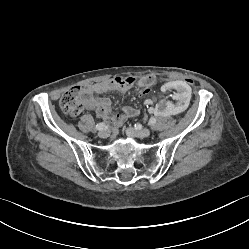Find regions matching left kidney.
<instances>
[{
	"label": "left kidney",
	"mask_w": 249,
	"mask_h": 249,
	"mask_svg": "<svg viewBox=\"0 0 249 249\" xmlns=\"http://www.w3.org/2000/svg\"><path fill=\"white\" fill-rule=\"evenodd\" d=\"M160 88L165 94H173V98L166 95L158 103L152 104L149 109L152 115H162L168 118L182 113L191 105L193 94L187 81L181 79L166 81L161 84Z\"/></svg>",
	"instance_id": "left-kidney-1"
}]
</instances>
